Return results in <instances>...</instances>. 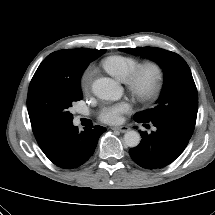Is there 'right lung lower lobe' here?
I'll list each match as a JSON object with an SVG mask.
<instances>
[{"label": "right lung lower lobe", "mask_w": 215, "mask_h": 215, "mask_svg": "<svg viewBox=\"0 0 215 215\" xmlns=\"http://www.w3.org/2000/svg\"><path fill=\"white\" fill-rule=\"evenodd\" d=\"M105 131L106 128L95 126L79 132L78 127L71 125L43 152L58 167L78 168L92 156L100 135Z\"/></svg>", "instance_id": "obj_1"}]
</instances>
